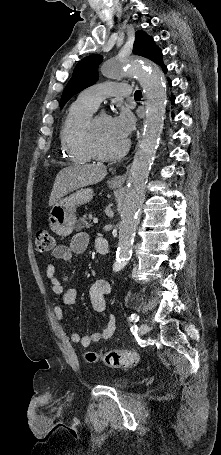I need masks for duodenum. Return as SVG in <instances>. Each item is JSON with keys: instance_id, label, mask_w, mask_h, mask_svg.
Here are the masks:
<instances>
[{"instance_id": "1", "label": "duodenum", "mask_w": 221, "mask_h": 455, "mask_svg": "<svg viewBox=\"0 0 221 455\" xmlns=\"http://www.w3.org/2000/svg\"><path fill=\"white\" fill-rule=\"evenodd\" d=\"M95 247L99 254L105 255L108 253V242L104 238H98L95 241Z\"/></svg>"}]
</instances>
